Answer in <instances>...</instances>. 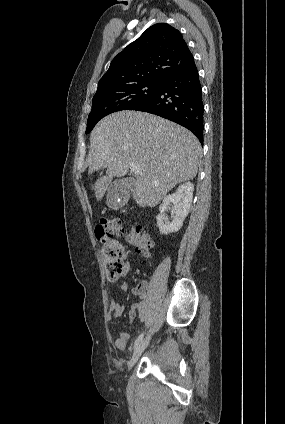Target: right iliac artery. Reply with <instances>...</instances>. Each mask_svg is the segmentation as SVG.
Wrapping results in <instances>:
<instances>
[{"label": "right iliac artery", "mask_w": 285, "mask_h": 424, "mask_svg": "<svg viewBox=\"0 0 285 424\" xmlns=\"http://www.w3.org/2000/svg\"><path fill=\"white\" fill-rule=\"evenodd\" d=\"M143 337H144V332L143 333H141L138 337H137V339L135 340V343H134V348H136L141 342H142V339H143Z\"/></svg>", "instance_id": "1"}]
</instances>
